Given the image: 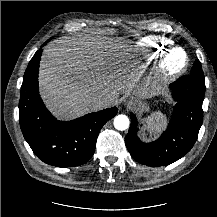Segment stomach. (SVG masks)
<instances>
[{"instance_id": "0dacf381", "label": "stomach", "mask_w": 217, "mask_h": 217, "mask_svg": "<svg viewBox=\"0 0 217 217\" xmlns=\"http://www.w3.org/2000/svg\"><path fill=\"white\" fill-rule=\"evenodd\" d=\"M150 95L147 96H138L137 98V109L140 112H146L149 109V103L147 99L150 98Z\"/></svg>"}]
</instances>
